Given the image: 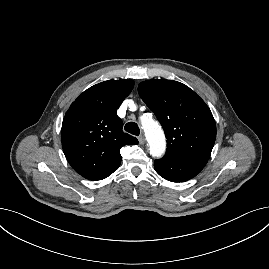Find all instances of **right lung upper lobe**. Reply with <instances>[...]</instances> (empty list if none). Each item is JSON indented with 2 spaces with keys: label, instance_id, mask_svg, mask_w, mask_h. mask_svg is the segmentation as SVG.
<instances>
[{
  "label": "right lung upper lobe",
  "instance_id": "obj_1",
  "mask_svg": "<svg viewBox=\"0 0 269 269\" xmlns=\"http://www.w3.org/2000/svg\"><path fill=\"white\" fill-rule=\"evenodd\" d=\"M134 87L132 80H109L84 91L66 112L61 129L63 152L71 167L89 180L118 169L120 148L138 140L122 131L117 109Z\"/></svg>",
  "mask_w": 269,
  "mask_h": 269
}]
</instances>
